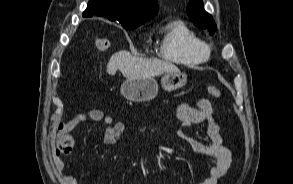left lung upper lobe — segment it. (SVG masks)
I'll return each instance as SVG.
<instances>
[{
    "label": "left lung upper lobe",
    "instance_id": "left-lung-upper-lobe-1",
    "mask_svg": "<svg viewBox=\"0 0 293 184\" xmlns=\"http://www.w3.org/2000/svg\"><path fill=\"white\" fill-rule=\"evenodd\" d=\"M187 14L199 28L208 29L210 34L216 31L217 27L213 17L205 12L202 0H190L187 6Z\"/></svg>",
    "mask_w": 293,
    "mask_h": 184
}]
</instances>
